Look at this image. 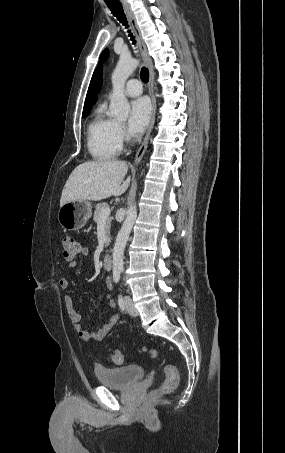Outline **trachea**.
<instances>
[{"instance_id": "1", "label": "trachea", "mask_w": 285, "mask_h": 453, "mask_svg": "<svg viewBox=\"0 0 285 453\" xmlns=\"http://www.w3.org/2000/svg\"><path fill=\"white\" fill-rule=\"evenodd\" d=\"M106 5L110 9L111 13L126 27L128 28L127 25V20L126 16L123 11L122 4L118 0H111L112 2H108L109 0H105ZM130 39L133 44L136 43L134 36L132 33H130V30H128ZM140 78L144 83H147L149 81V71L146 67H143L140 72Z\"/></svg>"}]
</instances>
